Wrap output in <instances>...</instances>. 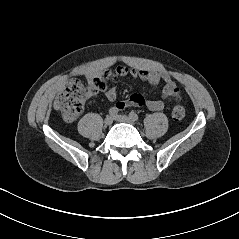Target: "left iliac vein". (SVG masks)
Wrapping results in <instances>:
<instances>
[{
  "label": "left iliac vein",
  "mask_w": 239,
  "mask_h": 239,
  "mask_svg": "<svg viewBox=\"0 0 239 239\" xmlns=\"http://www.w3.org/2000/svg\"><path fill=\"white\" fill-rule=\"evenodd\" d=\"M114 119L116 121H119V122H124V123H128V124H131V125H135L134 120H132L131 118L127 117L126 115H116L114 117Z\"/></svg>",
  "instance_id": "4c4485c4"
}]
</instances>
